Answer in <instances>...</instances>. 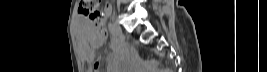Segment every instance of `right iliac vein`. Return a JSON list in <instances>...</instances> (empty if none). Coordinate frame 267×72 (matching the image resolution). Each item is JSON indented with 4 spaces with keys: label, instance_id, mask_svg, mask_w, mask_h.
<instances>
[{
    "label": "right iliac vein",
    "instance_id": "obj_1",
    "mask_svg": "<svg viewBox=\"0 0 267 72\" xmlns=\"http://www.w3.org/2000/svg\"><path fill=\"white\" fill-rule=\"evenodd\" d=\"M113 27H114V31H115L116 34H121L122 33L121 27H120V25L118 24L117 21H115L113 23Z\"/></svg>",
    "mask_w": 267,
    "mask_h": 72
}]
</instances>
